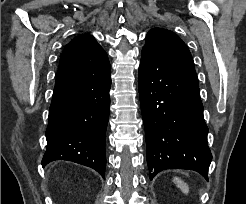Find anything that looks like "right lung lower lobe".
<instances>
[{"label":"right lung lower lobe","mask_w":246,"mask_h":204,"mask_svg":"<svg viewBox=\"0 0 246 204\" xmlns=\"http://www.w3.org/2000/svg\"><path fill=\"white\" fill-rule=\"evenodd\" d=\"M110 65L60 69L49 110L42 166L73 161L105 174Z\"/></svg>","instance_id":"1"}]
</instances>
